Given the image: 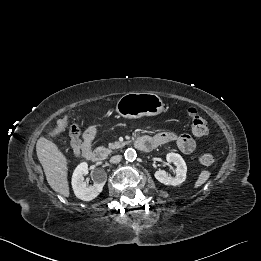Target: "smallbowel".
<instances>
[{
    "mask_svg": "<svg viewBox=\"0 0 261 261\" xmlns=\"http://www.w3.org/2000/svg\"><path fill=\"white\" fill-rule=\"evenodd\" d=\"M96 128L89 127L82 139L73 141L72 148L75 154H82L85 150H91V144L95 137ZM140 139L151 142L155 148L170 142H174L179 151L185 155L191 154L196 149V141L188 134L176 135L172 132H161L157 135H142Z\"/></svg>",
    "mask_w": 261,
    "mask_h": 261,
    "instance_id": "obj_1",
    "label": "small bowel"
}]
</instances>
